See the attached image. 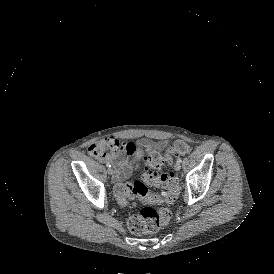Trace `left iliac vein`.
<instances>
[{"mask_svg": "<svg viewBox=\"0 0 274 274\" xmlns=\"http://www.w3.org/2000/svg\"><path fill=\"white\" fill-rule=\"evenodd\" d=\"M174 169L176 170V171H179L180 169H181V165H180V163H175L174 164Z\"/></svg>", "mask_w": 274, "mask_h": 274, "instance_id": "obj_1", "label": "left iliac vein"}]
</instances>
